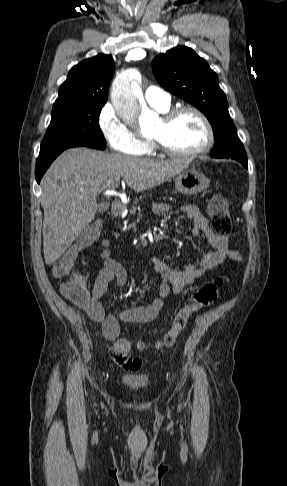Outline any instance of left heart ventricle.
Returning <instances> with one entry per match:
<instances>
[{"label":"left heart ventricle","mask_w":287,"mask_h":486,"mask_svg":"<svg viewBox=\"0 0 287 486\" xmlns=\"http://www.w3.org/2000/svg\"><path fill=\"white\" fill-rule=\"evenodd\" d=\"M151 137H161L171 148L190 151L201 147L206 141V132L201 120L193 113L180 115L169 127L160 119Z\"/></svg>","instance_id":"b2bd125f"}]
</instances>
